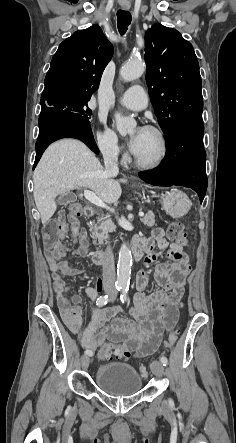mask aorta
<instances>
[{
	"instance_id": "aorta-1",
	"label": "aorta",
	"mask_w": 236,
	"mask_h": 443,
	"mask_svg": "<svg viewBox=\"0 0 236 443\" xmlns=\"http://www.w3.org/2000/svg\"><path fill=\"white\" fill-rule=\"evenodd\" d=\"M144 73V64L141 61L129 62L120 69V77L123 81L129 82L138 79ZM116 128L118 132L125 136L136 127V121L131 117H124L121 114H115ZM132 267V254L127 244H122L117 264V285L119 287H128L130 283Z\"/></svg>"
}]
</instances>
